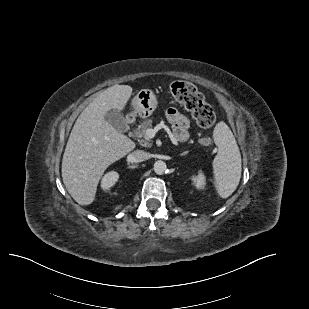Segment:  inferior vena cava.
<instances>
[{
	"label": "inferior vena cava",
	"mask_w": 309,
	"mask_h": 309,
	"mask_svg": "<svg viewBox=\"0 0 309 309\" xmlns=\"http://www.w3.org/2000/svg\"><path fill=\"white\" fill-rule=\"evenodd\" d=\"M149 157V153L143 150H136L131 154V159L133 162H142L149 159Z\"/></svg>",
	"instance_id": "obj_1"
}]
</instances>
